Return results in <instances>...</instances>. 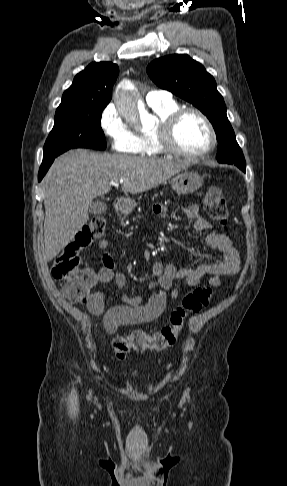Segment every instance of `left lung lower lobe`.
Returning a JSON list of instances; mask_svg holds the SVG:
<instances>
[{
	"mask_svg": "<svg viewBox=\"0 0 287 486\" xmlns=\"http://www.w3.org/2000/svg\"><path fill=\"white\" fill-rule=\"evenodd\" d=\"M243 172H245L246 170V165H241V166H238Z\"/></svg>",
	"mask_w": 287,
	"mask_h": 486,
	"instance_id": "1",
	"label": "left lung lower lobe"
}]
</instances>
